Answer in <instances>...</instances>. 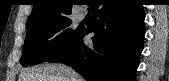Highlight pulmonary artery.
Masks as SVG:
<instances>
[{
    "label": "pulmonary artery",
    "instance_id": "obj_1",
    "mask_svg": "<svg viewBox=\"0 0 169 81\" xmlns=\"http://www.w3.org/2000/svg\"><path fill=\"white\" fill-rule=\"evenodd\" d=\"M85 15H86V13L84 11L79 12V18L80 19H84Z\"/></svg>",
    "mask_w": 169,
    "mask_h": 81
}]
</instances>
